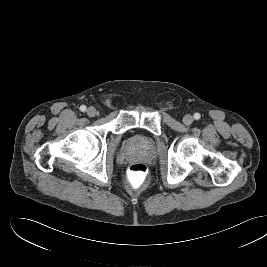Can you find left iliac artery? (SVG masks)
I'll list each match as a JSON object with an SVG mask.
<instances>
[{
    "mask_svg": "<svg viewBox=\"0 0 267 267\" xmlns=\"http://www.w3.org/2000/svg\"><path fill=\"white\" fill-rule=\"evenodd\" d=\"M200 117H201V115H200L199 113H195V114H194V118H195L196 120H199Z\"/></svg>",
    "mask_w": 267,
    "mask_h": 267,
    "instance_id": "left-iliac-artery-1",
    "label": "left iliac artery"
}]
</instances>
